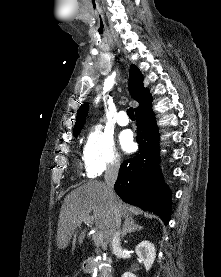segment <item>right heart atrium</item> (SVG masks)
<instances>
[{"mask_svg": "<svg viewBox=\"0 0 221 277\" xmlns=\"http://www.w3.org/2000/svg\"><path fill=\"white\" fill-rule=\"evenodd\" d=\"M83 158L89 177H96L106 171H115L121 164L112 134L100 125L94 126L89 131Z\"/></svg>", "mask_w": 221, "mask_h": 277, "instance_id": "obj_1", "label": "right heart atrium"}]
</instances>
